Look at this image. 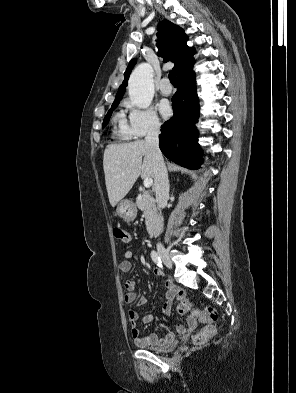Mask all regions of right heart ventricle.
Here are the masks:
<instances>
[{
  "mask_svg": "<svg viewBox=\"0 0 296 393\" xmlns=\"http://www.w3.org/2000/svg\"><path fill=\"white\" fill-rule=\"evenodd\" d=\"M116 127L115 134L121 139H130L131 133L129 131L128 124L125 120V115L122 111L118 112L115 117Z\"/></svg>",
  "mask_w": 296,
  "mask_h": 393,
  "instance_id": "obj_1",
  "label": "right heart ventricle"
}]
</instances>
